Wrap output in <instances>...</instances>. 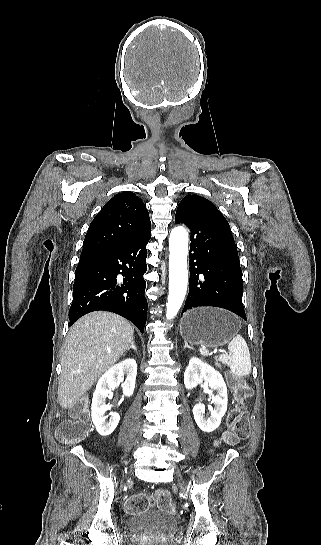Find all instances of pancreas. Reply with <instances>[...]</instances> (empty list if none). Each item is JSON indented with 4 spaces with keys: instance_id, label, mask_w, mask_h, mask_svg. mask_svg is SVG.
Returning <instances> with one entry per match:
<instances>
[{
    "instance_id": "pancreas-1",
    "label": "pancreas",
    "mask_w": 321,
    "mask_h": 545,
    "mask_svg": "<svg viewBox=\"0 0 321 545\" xmlns=\"http://www.w3.org/2000/svg\"><path fill=\"white\" fill-rule=\"evenodd\" d=\"M215 365H216V367H219V369H220L221 365H219V363H215Z\"/></svg>"
}]
</instances>
